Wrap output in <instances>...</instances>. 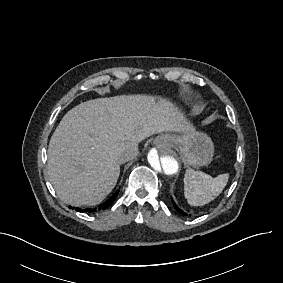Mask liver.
I'll return each instance as SVG.
<instances>
[{
  "mask_svg": "<svg viewBox=\"0 0 283 283\" xmlns=\"http://www.w3.org/2000/svg\"><path fill=\"white\" fill-rule=\"evenodd\" d=\"M161 132L193 129L171 102L154 97L120 96L77 105L49 143L48 174L57 195L75 206L100 203L119 179L117 154Z\"/></svg>",
  "mask_w": 283,
  "mask_h": 283,
  "instance_id": "1",
  "label": "liver"
}]
</instances>
